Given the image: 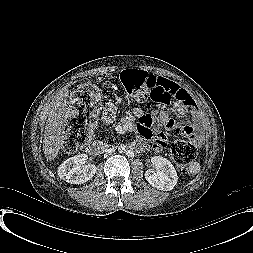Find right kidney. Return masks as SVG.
I'll use <instances>...</instances> for the list:
<instances>
[{"instance_id": "obj_1", "label": "right kidney", "mask_w": 253, "mask_h": 253, "mask_svg": "<svg viewBox=\"0 0 253 253\" xmlns=\"http://www.w3.org/2000/svg\"><path fill=\"white\" fill-rule=\"evenodd\" d=\"M88 155L78 154L65 160L58 167V176L71 184H82L90 180L96 173L97 167L86 164Z\"/></svg>"}]
</instances>
